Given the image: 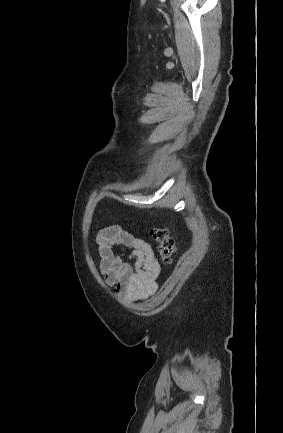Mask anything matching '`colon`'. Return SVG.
Wrapping results in <instances>:
<instances>
[{"instance_id": "5ec220e1", "label": "colon", "mask_w": 283, "mask_h": 433, "mask_svg": "<svg viewBox=\"0 0 283 433\" xmlns=\"http://www.w3.org/2000/svg\"><path fill=\"white\" fill-rule=\"evenodd\" d=\"M150 235L158 245V252L162 261L166 264L171 263L176 251V245L169 229L166 227H155L151 229Z\"/></svg>"}]
</instances>
